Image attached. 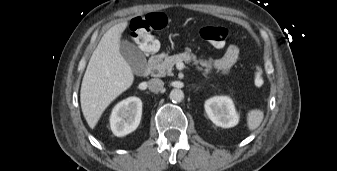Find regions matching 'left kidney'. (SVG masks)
<instances>
[{
  "instance_id": "1",
  "label": "left kidney",
  "mask_w": 337,
  "mask_h": 171,
  "mask_svg": "<svg viewBox=\"0 0 337 171\" xmlns=\"http://www.w3.org/2000/svg\"><path fill=\"white\" fill-rule=\"evenodd\" d=\"M205 111L210 120L223 128L234 127L239 122L232 99L228 96H215L205 102Z\"/></svg>"
}]
</instances>
